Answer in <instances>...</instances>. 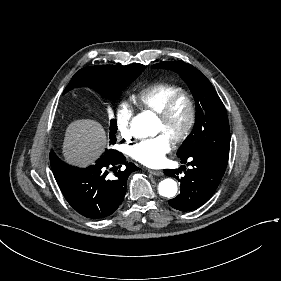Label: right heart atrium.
<instances>
[{"label": "right heart atrium", "mask_w": 281, "mask_h": 281, "mask_svg": "<svg viewBox=\"0 0 281 281\" xmlns=\"http://www.w3.org/2000/svg\"><path fill=\"white\" fill-rule=\"evenodd\" d=\"M133 111L129 103L120 101L115 110V125L120 136L129 143L133 138H138L141 128L132 120ZM128 151V145L123 146Z\"/></svg>", "instance_id": "obj_1"}]
</instances>
